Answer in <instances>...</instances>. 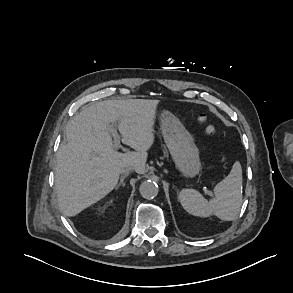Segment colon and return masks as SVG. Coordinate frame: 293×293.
Here are the masks:
<instances>
[{
    "label": "colon",
    "instance_id": "colon-1",
    "mask_svg": "<svg viewBox=\"0 0 293 293\" xmlns=\"http://www.w3.org/2000/svg\"><path fill=\"white\" fill-rule=\"evenodd\" d=\"M199 120L202 121V122H205V121H207V116L205 114H201L199 116ZM206 131H207V133L211 134V133H213L215 131V128L212 125H208L207 128H206Z\"/></svg>",
    "mask_w": 293,
    "mask_h": 293
}]
</instances>
